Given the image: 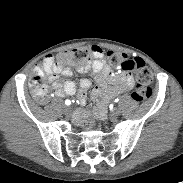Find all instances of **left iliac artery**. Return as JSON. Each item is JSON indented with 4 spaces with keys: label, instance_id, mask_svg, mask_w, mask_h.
Masks as SVG:
<instances>
[{
    "label": "left iliac artery",
    "instance_id": "left-iliac-artery-1",
    "mask_svg": "<svg viewBox=\"0 0 183 183\" xmlns=\"http://www.w3.org/2000/svg\"><path fill=\"white\" fill-rule=\"evenodd\" d=\"M114 102H115V103L119 102V99H118V98H116V99L114 100Z\"/></svg>",
    "mask_w": 183,
    "mask_h": 183
}]
</instances>
